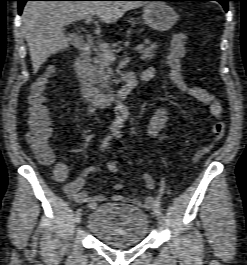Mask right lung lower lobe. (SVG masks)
Returning <instances> with one entry per match:
<instances>
[{
  "instance_id": "obj_1",
  "label": "right lung lower lobe",
  "mask_w": 247,
  "mask_h": 265,
  "mask_svg": "<svg viewBox=\"0 0 247 265\" xmlns=\"http://www.w3.org/2000/svg\"><path fill=\"white\" fill-rule=\"evenodd\" d=\"M19 3L18 9H19V14L22 13V9L26 1H31V0H17ZM34 1H39V0H34ZM44 1H55V0H44ZM61 1V0H58ZM68 1H105V0H68Z\"/></svg>"
}]
</instances>
